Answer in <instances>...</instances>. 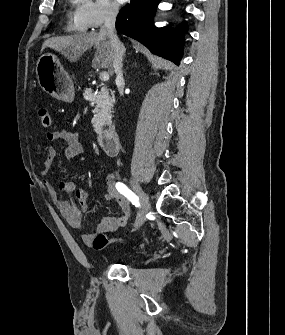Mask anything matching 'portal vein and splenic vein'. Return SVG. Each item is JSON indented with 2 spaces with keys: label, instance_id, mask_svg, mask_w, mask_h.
<instances>
[{
  "label": "portal vein and splenic vein",
  "instance_id": "18ae733b",
  "mask_svg": "<svg viewBox=\"0 0 285 335\" xmlns=\"http://www.w3.org/2000/svg\"><path fill=\"white\" fill-rule=\"evenodd\" d=\"M99 78H100V80H102V82H108L109 74H107V72H102V74H100Z\"/></svg>",
  "mask_w": 285,
  "mask_h": 335
}]
</instances>
